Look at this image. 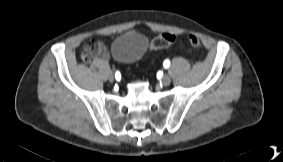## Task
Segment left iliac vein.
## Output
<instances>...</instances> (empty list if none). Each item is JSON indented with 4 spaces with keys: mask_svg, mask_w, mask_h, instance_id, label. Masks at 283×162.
<instances>
[{
    "mask_svg": "<svg viewBox=\"0 0 283 162\" xmlns=\"http://www.w3.org/2000/svg\"><path fill=\"white\" fill-rule=\"evenodd\" d=\"M160 83L164 86H168L171 83V79L169 76L164 75L161 79H160Z\"/></svg>",
    "mask_w": 283,
    "mask_h": 162,
    "instance_id": "1",
    "label": "left iliac vein"
}]
</instances>
